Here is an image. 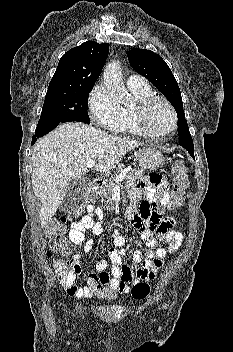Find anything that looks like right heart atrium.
Segmentation results:
<instances>
[{
  "label": "right heart atrium",
  "instance_id": "d8ad5b80",
  "mask_svg": "<svg viewBox=\"0 0 233 352\" xmlns=\"http://www.w3.org/2000/svg\"><path fill=\"white\" fill-rule=\"evenodd\" d=\"M89 108L98 125L110 132H119L121 105L103 84H97L91 91Z\"/></svg>",
  "mask_w": 233,
  "mask_h": 352
}]
</instances>
